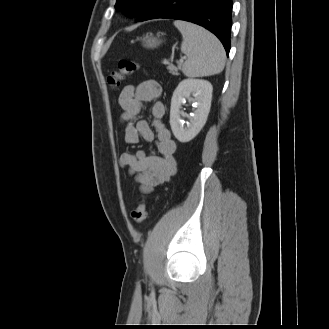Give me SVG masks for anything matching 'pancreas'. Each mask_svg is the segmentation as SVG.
Here are the masks:
<instances>
[{
    "label": "pancreas",
    "mask_w": 329,
    "mask_h": 329,
    "mask_svg": "<svg viewBox=\"0 0 329 329\" xmlns=\"http://www.w3.org/2000/svg\"><path fill=\"white\" fill-rule=\"evenodd\" d=\"M167 69L173 75H179L178 70L181 69V64L178 67H175L173 64L168 63Z\"/></svg>",
    "instance_id": "pancreas-1"
}]
</instances>
